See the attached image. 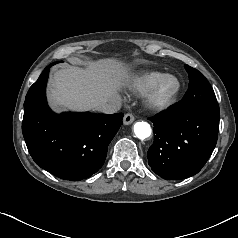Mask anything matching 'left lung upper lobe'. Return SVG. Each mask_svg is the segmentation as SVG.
Masks as SVG:
<instances>
[{
	"label": "left lung upper lobe",
	"mask_w": 238,
	"mask_h": 238,
	"mask_svg": "<svg viewBox=\"0 0 238 238\" xmlns=\"http://www.w3.org/2000/svg\"><path fill=\"white\" fill-rule=\"evenodd\" d=\"M185 69L190 83L185 96L176 104L179 111L187 112L202 105L217 104L213 88L202 73L189 65H185Z\"/></svg>",
	"instance_id": "left-lung-upper-lobe-1"
}]
</instances>
